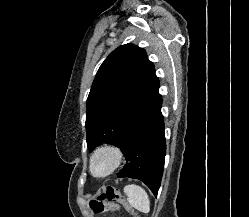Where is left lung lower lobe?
Returning a JSON list of instances; mask_svg holds the SVG:
<instances>
[{
    "mask_svg": "<svg viewBox=\"0 0 249 217\" xmlns=\"http://www.w3.org/2000/svg\"><path fill=\"white\" fill-rule=\"evenodd\" d=\"M159 80L129 112L120 128V147L126 158L118 177L144 182L157 196L160 187L166 143L161 114Z\"/></svg>",
    "mask_w": 249,
    "mask_h": 217,
    "instance_id": "0a47b994",
    "label": "left lung lower lobe"
}]
</instances>
